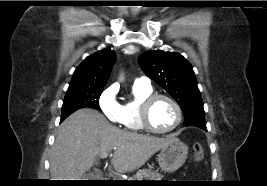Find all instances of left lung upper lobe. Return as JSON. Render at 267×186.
<instances>
[{"label":"left lung upper lobe","instance_id":"obj_1","mask_svg":"<svg viewBox=\"0 0 267 186\" xmlns=\"http://www.w3.org/2000/svg\"><path fill=\"white\" fill-rule=\"evenodd\" d=\"M139 63L146 75L178 102L184 125L206 130L202 98L191 64L179 53L164 51L144 52Z\"/></svg>","mask_w":267,"mask_h":186}]
</instances>
